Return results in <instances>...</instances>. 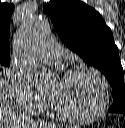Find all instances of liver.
Segmentation results:
<instances>
[{
  "label": "liver",
  "mask_w": 125,
  "mask_h": 128,
  "mask_svg": "<svg viewBox=\"0 0 125 128\" xmlns=\"http://www.w3.org/2000/svg\"><path fill=\"white\" fill-rule=\"evenodd\" d=\"M20 126H24V124L12 110L11 86L0 72V128H17ZM51 128H56V126H51Z\"/></svg>",
  "instance_id": "6515ba94"
}]
</instances>
